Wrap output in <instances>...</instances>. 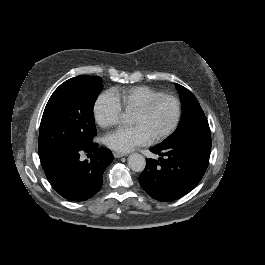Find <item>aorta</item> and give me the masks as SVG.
I'll use <instances>...</instances> for the list:
<instances>
[{
    "label": "aorta",
    "instance_id": "aorta-1",
    "mask_svg": "<svg viewBox=\"0 0 265 265\" xmlns=\"http://www.w3.org/2000/svg\"><path fill=\"white\" fill-rule=\"evenodd\" d=\"M127 164L133 171L140 172L144 170L146 162L142 154L134 152L128 156Z\"/></svg>",
    "mask_w": 265,
    "mask_h": 265
}]
</instances>
